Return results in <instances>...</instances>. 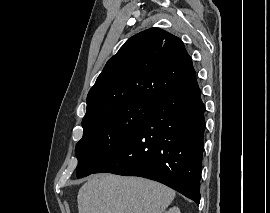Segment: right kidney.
<instances>
[{
    "instance_id": "obj_1",
    "label": "right kidney",
    "mask_w": 270,
    "mask_h": 213,
    "mask_svg": "<svg viewBox=\"0 0 270 213\" xmlns=\"http://www.w3.org/2000/svg\"><path fill=\"white\" fill-rule=\"evenodd\" d=\"M164 213H181L178 207H172Z\"/></svg>"
}]
</instances>
